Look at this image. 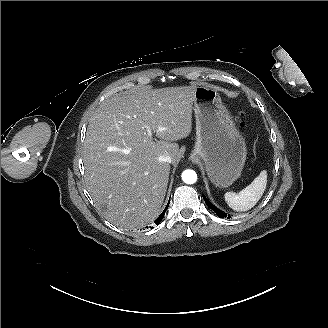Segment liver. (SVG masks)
Wrapping results in <instances>:
<instances>
[{
    "mask_svg": "<svg viewBox=\"0 0 328 328\" xmlns=\"http://www.w3.org/2000/svg\"><path fill=\"white\" fill-rule=\"evenodd\" d=\"M195 88L132 89L107 99L91 116L84 179L96 208L112 224L134 229L159 212L170 164L158 157L168 154L173 165L179 162V145L173 141L192 131ZM147 128L160 140L154 141Z\"/></svg>",
    "mask_w": 328,
    "mask_h": 328,
    "instance_id": "6515ba94",
    "label": "liver"
}]
</instances>
